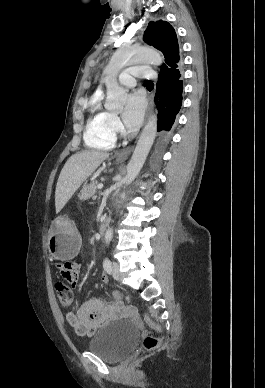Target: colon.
<instances>
[{"instance_id": "1", "label": "colon", "mask_w": 265, "mask_h": 388, "mask_svg": "<svg viewBox=\"0 0 265 388\" xmlns=\"http://www.w3.org/2000/svg\"><path fill=\"white\" fill-rule=\"evenodd\" d=\"M55 290L57 293L58 301L61 306L63 307H69L72 304L73 301V292L71 287L66 284L65 282L59 281L55 284ZM113 302L122 304L124 299H127L128 297L121 293L120 291H112L110 294ZM146 322L157 332L162 331V327L156 323L149 315L145 316ZM160 344V339L158 337L154 336H147L144 339V347L147 350H154L156 349Z\"/></svg>"}]
</instances>
